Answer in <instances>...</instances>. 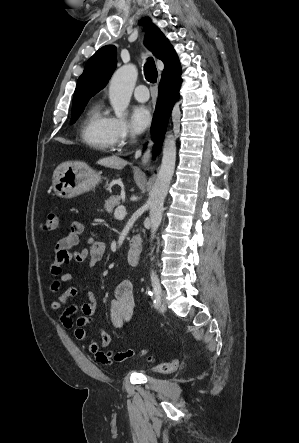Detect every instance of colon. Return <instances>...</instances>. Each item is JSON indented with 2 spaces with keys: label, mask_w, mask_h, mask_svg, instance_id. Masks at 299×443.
Returning <instances> with one entry per match:
<instances>
[{
  "label": "colon",
  "mask_w": 299,
  "mask_h": 443,
  "mask_svg": "<svg viewBox=\"0 0 299 443\" xmlns=\"http://www.w3.org/2000/svg\"><path fill=\"white\" fill-rule=\"evenodd\" d=\"M59 225V219L54 211H48L45 214L43 229L45 231H53L57 229ZM147 354V352H144ZM149 360L154 362L152 356H149ZM178 368V360H169L155 363V369L161 373H172Z\"/></svg>",
  "instance_id": "5ec220e1"
}]
</instances>
